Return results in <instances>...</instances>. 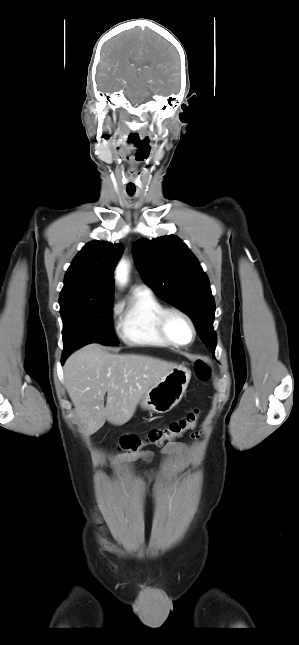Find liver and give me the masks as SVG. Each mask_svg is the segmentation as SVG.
<instances>
[{
	"instance_id": "1",
	"label": "liver",
	"mask_w": 299,
	"mask_h": 645,
	"mask_svg": "<svg viewBox=\"0 0 299 645\" xmlns=\"http://www.w3.org/2000/svg\"><path fill=\"white\" fill-rule=\"evenodd\" d=\"M176 367L150 356L111 354L96 343L75 351L64 364V379L83 432L92 435L105 421L127 423L141 397Z\"/></svg>"
}]
</instances>
